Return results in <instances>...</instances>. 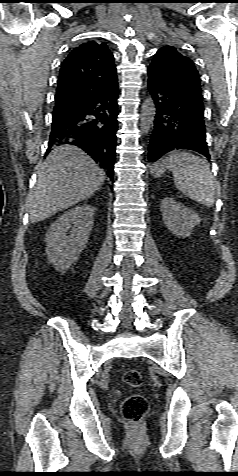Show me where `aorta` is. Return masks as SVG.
<instances>
[{"label": "aorta", "mask_w": 238, "mask_h": 476, "mask_svg": "<svg viewBox=\"0 0 238 476\" xmlns=\"http://www.w3.org/2000/svg\"><path fill=\"white\" fill-rule=\"evenodd\" d=\"M155 117V105L151 96H148L141 106L140 129L143 133H148L153 126Z\"/></svg>", "instance_id": "762f6f07"}]
</instances>
